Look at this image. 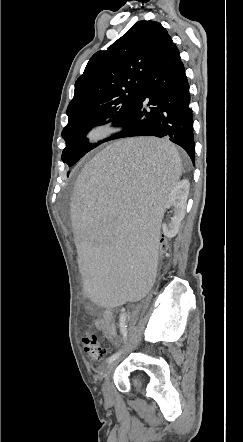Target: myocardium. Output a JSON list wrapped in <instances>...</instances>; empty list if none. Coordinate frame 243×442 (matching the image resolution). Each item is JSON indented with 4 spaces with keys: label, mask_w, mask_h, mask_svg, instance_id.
Returning <instances> with one entry per match:
<instances>
[{
    "label": "myocardium",
    "mask_w": 243,
    "mask_h": 442,
    "mask_svg": "<svg viewBox=\"0 0 243 442\" xmlns=\"http://www.w3.org/2000/svg\"><path fill=\"white\" fill-rule=\"evenodd\" d=\"M117 131L116 124L113 120L103 119L89 125L84 132V139L90 144L100 143Z\"/></svg>",
    "instance_id": "obj_1"
}]
</instances>
